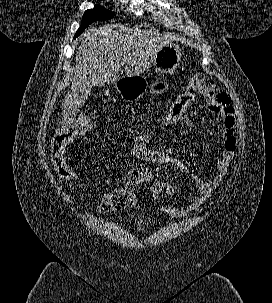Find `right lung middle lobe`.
Returning <instances> with one entry per match:
<instances>
[{"label": "right lung middle lobe", "instance_id": "dd1d6c3e", "mask_svg": "<svg viewBox=\"0 0 272 303\" xmlns=\"http://www.w3.org/2000/svg\"><path fill=\"white\" fill-rule=\"evenodd\" d=\"M114 16V12L106 10L99 5L96 6L94 9H89L84 12L82 17L81 26L75 34L76 38L79 36L87 26H89L94 21H104L110 20Z\"/></svg>", "mask_w": 272, "mask_h": 303}]
</instances>
